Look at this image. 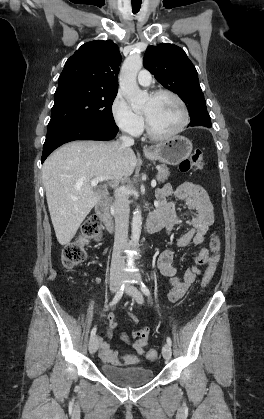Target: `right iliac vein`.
Returning <instances> with one entry per match:
<instances>
[{
  "label": "right iliac vein",
  "mask_w": 264,
  "mask_h": 419,
  "mask_svg": "<svg viewBox=\"0 0 264 419\" xmlns=\"http://www.w3.org/2000/svg\"><path fill=\"white\" fill-rule=\"evenodd\" d=\"M121 285V278L119 276H115L111 279L110 282V290L112 292H116ZM89 351L90 353H95L98 349V339L96 336H93L89 341Z\"/></svg>",
  "instance_id": "right-iliac-vein-1"
}]
</instances>
